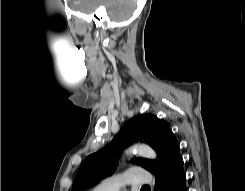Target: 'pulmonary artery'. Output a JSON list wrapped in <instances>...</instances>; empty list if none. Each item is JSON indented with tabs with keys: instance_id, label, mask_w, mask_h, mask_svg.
Wrapping results in <instances>:
<instances>
[{
	"instance_id": "pulmonary-artery-1",
	"label": "pulmonary artery",
	"mask_w": 245,
	"mask_h": 191,
	"mask_svg": "<svg viewBox=\"0 0 245 191\" xmlns=\"http://www.w3.org/2000/svg\"><path fill=\"white\" fill-rule=\"evenodd\" d=\"M152 183V174L145 169L132 167L125 172L115 175L92 191H119L124 186H146Z\"/></svg>"
}]
</instances>
